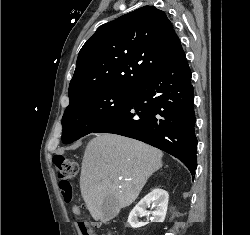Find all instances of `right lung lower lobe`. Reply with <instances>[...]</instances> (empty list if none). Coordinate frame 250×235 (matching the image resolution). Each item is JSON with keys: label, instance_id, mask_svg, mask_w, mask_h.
<instances>
[{"label": "right lung lower lobe", "instance_id": "obj_1", "mask_svg": "<svg viewBox=\"0 0 250 235\" xmlns=\"http://www.w3.org/2000/svg\"><path fill=\"white\" fill-rule=\"evenodd\" d=\"M191 70L179 42L167 65L143 80L128 102L93 132L113 133L157 147L197 168Z\"/></svg>", "mask_w": 250, "mask_h": 235}]
</instances>
